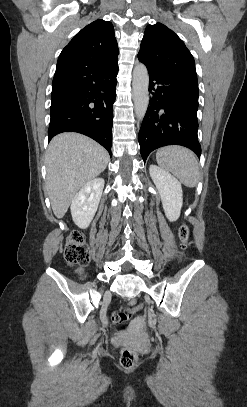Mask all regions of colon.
<instances>
[{
    "mask_svg": "<svg viewBox=\"0 0 247 407\" xmlns=\"http://www.w3.org/2000/svg\"><path fill=\"white\" fill-rule=\"evenodd\" d=\"M179 237L181 240V248L186 250L190 237V228L183 224L179 228ZM64 257L69 265L86 264L91 257V252L87 246L83 234L78 231H73L68 236V240L64 249ZM142 305L135 299L129 300L128 304L121 306L111 315V321L115 325H123L133 314V312ZM120 365L125 369H131L138 362V353L129 347L123 348L120 353Z\"/></svg>",
    "mask_w": 247,
    "mask_h": 407,
    "instance_id": "1",
    "label": "colon"
}]
</instances>
